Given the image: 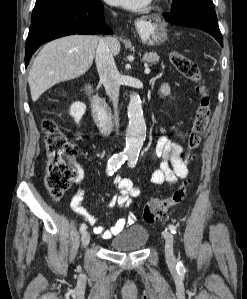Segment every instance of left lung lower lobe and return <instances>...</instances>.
<instances>
[{
	"instance_id": "1",
	"label": "left lung lower lobe",
	"mask_w": 247,
	"mask_h": 299,
	"mask_svg": "<svg viewBox=\"0 0 247 299\" xmlns=\"http://www.w3.org/2000/svg\"><path fill=\"white\" fill-rule=\"evenodd\" d=\"M167 22L173 25L192 27L212 35L223 47L222 34L214 9L196 3H189L169 13H163Z\"/></svg>"
}]
</instances>
